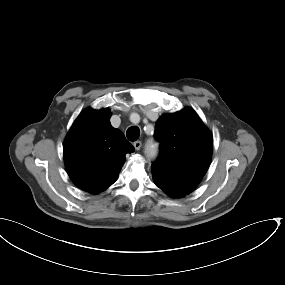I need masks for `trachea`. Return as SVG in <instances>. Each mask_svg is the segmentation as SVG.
<instances>
[{
    "label": "trachea",
    "instance_id": "trachea-1",
    "mask_svg": "<svg viewBox=\"0 0 285 285\" xmlns=\"http://www.w3.org/2000/svg\"><path fill=\"white\" fill-rule=\"evenodd\" d=\"M140 129L137 126H131L126 132V136L130 141H136L139 138Z\"/></svg>",
    "mask_w": 285,
    "mask_h": 285
}]
</instances>
